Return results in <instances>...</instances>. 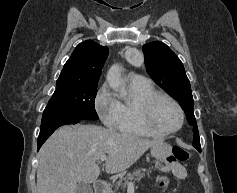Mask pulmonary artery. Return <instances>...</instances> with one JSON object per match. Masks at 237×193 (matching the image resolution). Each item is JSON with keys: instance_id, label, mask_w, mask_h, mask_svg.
Wrapping results in <instances>:
<instances>
[{"instance_id": "obj_1", "label": "pulmonary artery", "mask_w": 237, "mask_h": 193, "mask_svg": "<svg viewBox=\"0 0 237 193\" xmlns=\"http://www.w3.org/2000/svg\"><path fill=\"white\" fill-rule=\"evenodd\" d=\"M130 81L133 83H139V84L148 82V80L140 74H132L130 76Z\"/></svg>"}]
</instances>
